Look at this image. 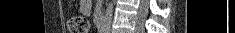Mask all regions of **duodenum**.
<instances>
[{"label":"duodenum","instance_id":"1","mask_svg":"<svg viewBox=\"0 0 235 33\" xmlns=\"http://www.w3.org/2000/svg\"><path fill=\"white\" fill-rule=\"evenodd\" d=\"M103 28H104L103 17H99V19H98V29H99V32H100V33L103 32Z\"/></svg>","mask_w":235,"mask_h":33}]
</instances>
